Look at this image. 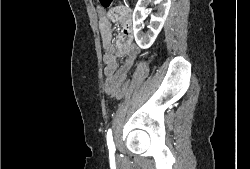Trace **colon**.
<instances>
[{"instance_id": "colon-1", "label": "colon", "mask_w": 250, "mask_h": 169, "mask_svg": "<svg viewBox=\"0 0 250 169\" xmlns=\"http://www.w3.org/2000/svg\"><path fill=\"white\" fill-rule=\"evenodd\" d=\"M97 3H101V5L105 9H110L112 6V1L111 0H97ZM148 59H155V54H148ZM149 65L151 64L150 62L148 63ZM129 80L127 82H122V85L119 89V91L116 93L117 97H126V92H127V87H129ZM114 95V94H113ZM119 101L121 100L120 98L118 99Z\"/></svg>"}]
</instances>
